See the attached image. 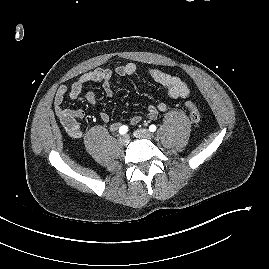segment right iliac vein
Returning <instances> with one entry per match:
<instances>
[{"label":"right iliac vein","instance_id":"63e3f726","mask_svg":"<svg viewBox=\"0 0 269 269\" xmlns=\"http://www.w3.org/2000/svg\"><path fill=\"white\" fill-rule=\"evenodd\" d=\"M119 143L122 145H127L130 141L129 136L128 135H122L119 137Z\"/></svg>","mask_w":269,"mask_h":269}]
</instances>
